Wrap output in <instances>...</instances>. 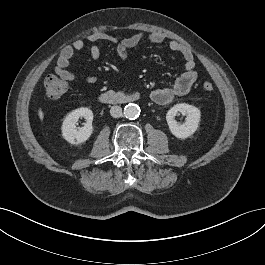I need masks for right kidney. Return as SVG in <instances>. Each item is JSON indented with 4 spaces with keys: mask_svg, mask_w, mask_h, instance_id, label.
Returning <instances> with one entry per match:
<instances>
[{
    "mask_svg": "<svg viewBox=\"0 0 265 265\" xmlns=\"http://www.w3.org/2000/svg\"><path fill=\"white\" fill-rule=\"evenodd\" d=\"M84 117L86 123L77 129L76 122ZM93 112L86 107H81L70 112L64 119L61 130L63 138L71 144H80L88 140L93 133Z\"/></svg>",
    "mask_w": 265,
    "mask_h": 265,
    "instance_id": "ca27d5eb",
    "label": "right kidney"
}]
</instances>
